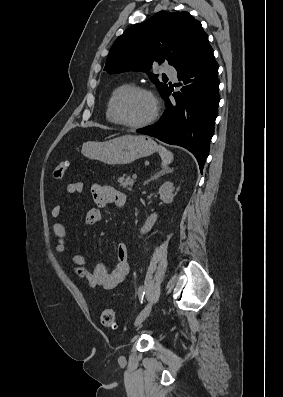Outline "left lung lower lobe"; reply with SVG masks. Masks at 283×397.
<instances>
[{"label":"left lung lower lobe","mask_w":283,"mask_h":397,"mask_svg":"<svg viewBox=\"0 0 283 397\" xmlns=\"http://www.w3.org/2000/svg\"><path fill=\"white\" fill-rule=\"evenodd\" d=\"M176 70L180 91L173 93L175 100L169 99L167 89L161 95L166 101L163 117L137 132L186 148L194 154L202 172L220 101L218 64L212 47L207 45Z\"/></svg>","instance_id":"0a47b994"}]
</instances>
